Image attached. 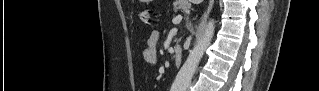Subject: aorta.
I'll list each match as a JSON object with an SVG mask.
<instances>
[{"mask_svg": "<svg viewBox=\"0 0 319 91\" xmlns=\"http://www.w3.org/2000/svg\"><path fill=\"white\" fill-rule=\"evenodd\" d=\"M215 30V21L212 19L205 27L202 37L198 40L194 48L190 51V54L179 70L172 88L174 91H186L189 87L192 77L199 65V62L210 45Z\"/></svg>", "mask_w": 319, "mask_h": 91, "instance_id": "aorta-1", "label": "aorta"}]
</instances>
